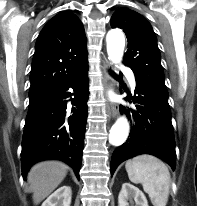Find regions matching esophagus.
I'll return each mask as SVG.
<instances>
[{"label": "esophagus", "mask_w": 197, "mask_h": 206, "mask_svg": "<svg viewBox=\"0 0 197 206\" xmlns=\"http://www.w3.org/2000/svg\"><path fill=\"white\" fill-rule=\"evenodd\" d=\"M111 63L108 60H104L102 63L103 83L105 87L106 96L108 98V113L111 117L115 118L118 115V105L111 100L110 90L113 85V79L110 73Z\"/></svg>", "instance_id": "esophagus-1"}]
</instances>
